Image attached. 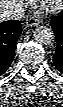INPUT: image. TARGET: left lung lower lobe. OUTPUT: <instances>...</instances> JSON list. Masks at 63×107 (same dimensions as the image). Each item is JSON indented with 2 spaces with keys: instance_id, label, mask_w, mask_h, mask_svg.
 Masks as SVG:
<instances>
[{
  "instance_id": "left-lung-lower-lobe-1",
  "label": "left lung lower lobe",
  "mask_w": 63,
  "mask_h": 107,
  "mask_svg": "<svg viewBox=\"0 0 63 107\" xmlns=\"http://www.w3.org/2000/svg\"><path fill=\"white\" fill-rule=\"evenodd\" d=\"M50 25L56 38V51L53 62L55 67L63 74V13L52 17Z\"/></svg>"
}]
</instances>
